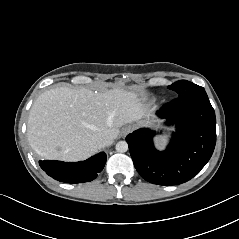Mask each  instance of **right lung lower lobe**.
Returning <instances> with one entry per match:
<instances>
[{"instance_id":"obj_1","label":"right lung lower lobe","mask_w":239,"mask_h":239,"mask_svg":"<svg viewBox=\"0 0 239 239\" xmlns=\"http://www.w3.org/2000/svg\"><path fill=\"white\" fill-rule=\"evenodd\" d=\"M106 154L101 152L80 162L40 161V167L52 178L66 183H84L92 181L102 171L106 163Z\"/></svg>"}]
</instances>
